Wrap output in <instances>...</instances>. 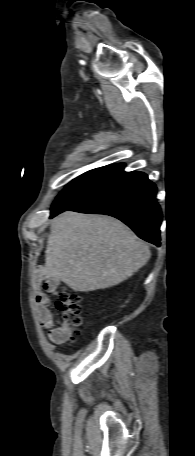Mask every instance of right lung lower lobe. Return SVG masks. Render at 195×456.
Masks as SVG:
<instances>
[{"label":"right lung lower lobe","mask_w":195,"mask_h":456,"mask_svg":"<svg viewBox=\"0 0 195 456\" xmlns=\"http://www.w3.org/2000/svg\"><path fill=\"white\" fill-rule=\"evenodd\" d=\"M157 188L143 172H122L106 187L68 209L106 214L127 224L140 238L160 245L162 212L155 200ZM58 214H51V218Z\"/></svg>","instance_id":"98d812e1"}]
</instances>
